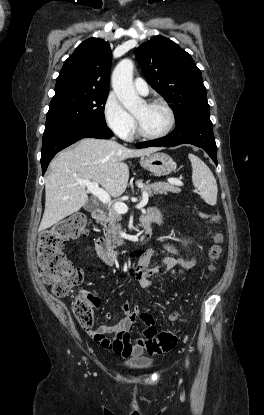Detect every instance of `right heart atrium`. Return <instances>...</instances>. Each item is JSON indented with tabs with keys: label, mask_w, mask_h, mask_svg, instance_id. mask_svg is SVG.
<instances>
[{
	"label": "right heart atrium",
	"mask_w": 264,
	"mask_h": 415,
	"mask_svg": "<svg viewBox=\"0 0 264 415\" xmlns=\"http://www.w3.org/2000/svg\"><path fill=\"white\" fill-rule=\"evenodd\" d=\"M104 116L107 125L116 135L124 139L132 137L135 129L134 119L114 94H110L106 98Z\"/></svg>",
	"instance_id": "1"
}]
</instances>
